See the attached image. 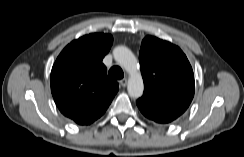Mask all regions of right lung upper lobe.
Segmentation results:
<instances>
[{"label":"right lung upper lobe","mask_w":244,"mask_h":157,"mask_svg":"<svg viewBox=\"0 0 244 157\" xmlns=\"http://www.w3.org/2000/svg\"><path fill=\"white\" fill-rule=\"evenodd\" d=\"M112 43L110 34L85 35L68 44L52 67L54 101L63 115L79 125L100 118L119 89L102 63Z\"/></svg>","instance_id":"obj_1"}]
</instances>
